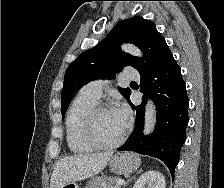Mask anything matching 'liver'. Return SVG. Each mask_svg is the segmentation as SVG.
Returning <instances> with one entry per match:
<instances>
[{
    "instance_id": "obj_1",
    "label": "liver",
    "mask_w": 224,
    "mask_h": 188,
    "mask_svg": "<svg viewBox=\"0 0 224 188\" xmlns=\"http://www.w3.org/2000/svg\"><path fill=\"white\" fill-rule=\"evenodd\" d=\"M113 152L77 154L60 159L52 172L50 188H61L67 183L89 178L102 171Z\"/></svg>"
}]
</instances>
